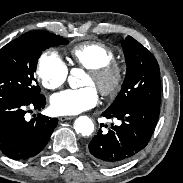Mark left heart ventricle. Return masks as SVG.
I'll return each mask as SVG.
<instances>
[{"label": "left heart ventricle", "mask_w": 183, "mask_h": 183, "mask_svg": "<svg viewBox=\"0 0 183 183\" xmlns=\"http://www.w3.org/2000/svg\"><path fill=\"white\" fill-rule=\"evenodd\" d=\"M84 85H87V86H89V85L95 86V82H94L93 78L90 75H88L86 77V80L84 82Z\"/></svg>", "instance_id": "1"}]
</instances>
